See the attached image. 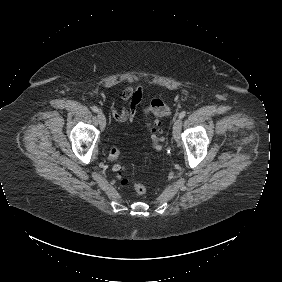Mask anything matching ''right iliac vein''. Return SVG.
Masks as SVG:
<instances>
[{
  "label": "right iliac vein",
  "mask_w": 282,
  "mask_h": 282,
  "mask_svg": "<svg viewBox=\"0 0 282 282\" xmlns=\"http://www.w3.org/2000/svg\"><path fill=\"white\" fill-rule=\"evenodd\" d=\"M100 128L103 130L106 126V118L105 115L100 111L97 115Z\"/></svg>",
  "instance_id": "obj_1"
}]
</instances>
